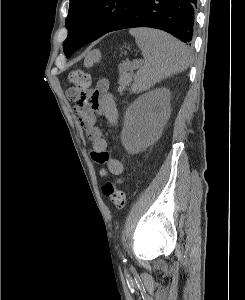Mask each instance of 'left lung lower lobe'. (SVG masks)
I'll list each match as a JSON object with an SVG mask.
<instances>
[{
    "label": "left lung lower lobe",
    "instance_id": "1",
    "mask_svg": "<svg viewBox=\"0 0 245 300\" xmlns=\"http://www.w3.org/2000/svg\"><path fill=\"white\" fill-rule=\"evenodd\" d=\"M196 7L197 0H136L106 33L126 28L150 27L166 31L190 45ZM99 37L101 36L92 37L85 45Z\"/></svg>",
    "mask_w": 245,
    "mask_h": 300
}]
</instances>
